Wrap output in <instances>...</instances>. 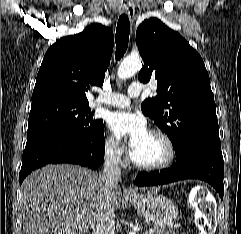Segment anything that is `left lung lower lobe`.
Masks as SVG:
<instances>
[{
    "mask_svg": "<svg viewBox=\"0 0 241 234\" xmlns=\"http://www.w3.org/2000/svg\"><path fill=\"white\" fill-rule=\"evenodd\" d=\"M224 162L221 143L199 141L186 145L176 154V162L166 170L141 172L137 186H154L183 179H200L211 184L223 199Z\"/></svg>",
    "mask_w": 241,
    "mask_h": 234,
    "instance_id": "left-lung-lower-lobe-1",
    "label": "left lung lower lobe"
}]
</instances>
